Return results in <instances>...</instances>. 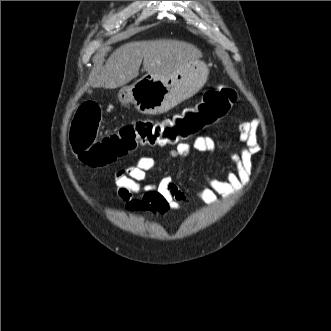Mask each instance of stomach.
I'll use <instances>...</instances> for the list:
<instances>
[{
  "mask_svg": "<svg viewBox=\"0 0 331 331\" xmlns=\"http://www.w3.org/2000/svg\"><path fill=\"white\" fill-rule=\"evenodd\" d=\"M209 74L205 62L194 59L184 68L164 78L147 74L118 93L122 105H134L146 115L163 114L192 97L205 84Z\"/></svg>",
  "mask_w": 331,
  "mask_h": 331,
  "instance_id": "0dacf381",
  "label": "stomach"
}]
</instances>
